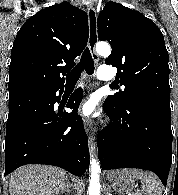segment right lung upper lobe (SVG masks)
Instances as JSON below:
<instances>
[{
    "instance_id": "obj_1",
    "label": "right lung upper lobe",
    "mask_w": 178,
    "mask_h": 195,
    "mask_svg": "<svg viewBox=\"0 0 178 195\" xmlns=\"http://www.w3.org/2000/svg\"><path fill=\"white\" fill-rule=\"evenodd\" d=\"M88 36L87 14L67 2L30 17L18 31L11 51L9 96L62 86Z\"/></svg>"
}]
</instances>
